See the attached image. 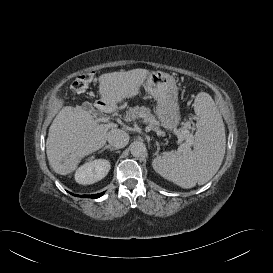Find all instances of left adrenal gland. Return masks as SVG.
Masks as SVG:
<instances>
[{
	"label": "left adrenal gland",
	"mask_w": 273,
	"mask_h": 273,
	"mask_svg": "<svg viewBox=\"0 0 273 273\" xmlns=\"http://www.w3.org/2000/svg\"><path fill=\"white\" fill-rule=\"evenodd\" d=\"M156 145H157V149L159 150V149H160V147H159V143H158V142H156Z\"/></svg>",
	"instance_id": "1"
}]
</instances>
